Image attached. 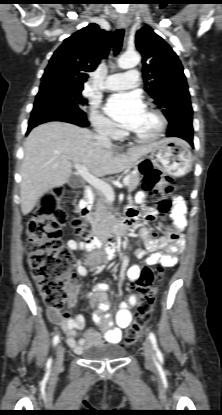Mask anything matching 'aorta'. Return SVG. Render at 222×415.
<instances>
[{
    "mask_svg": "<svg viewBox=\"0 0 222 415\" xmlns=\"http://www.w3.org/2000/svg\"><path fill=\"white\" fill-rule=\"evenodd\" d=\"M141 57L138 53H125L118 60V66L122 69H130L140 63Z\"/></svg>",
    "mask_w": 222,
    "mask_h": 415,
    "instance_id": "aorta-1",
    "label": "aorta"
}]
</instances>
